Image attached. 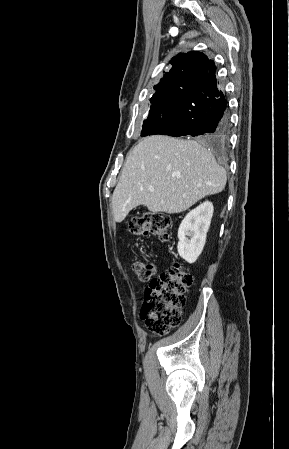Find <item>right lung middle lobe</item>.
<instances>
[{
    "label": "right lung middle lobe",
    "instance_id": "obj_1",
    "mask_svg": "<svg viewBox=\"0 0 289 449\" xmlns=\"http://www.w3.org/2000/svg\"><path fill=\"white\" fill-rule=\"evenodd\" d=\"M149 116L143 122L141 136L153 135L161 124L173 120L176 116L172 99L167 92L150 98Z\"/></svg>",
    "mask_w": 289,
    "mask_h": 449
}]
</instances>
